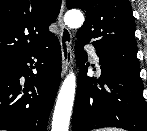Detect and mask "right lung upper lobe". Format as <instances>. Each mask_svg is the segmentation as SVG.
I'll return each mask as SVG.
<instances>
[{
  "instance_id": "1",
  "label": "right lung upper lobe",
  "mask_w": 147,
  "mask_h": 131,
  "mask_svg": "<svg viewBox=\"0 0 147 131\" xmlns=\"http://www.w3.org/2000/svg\"><path fill=\"white\" fill-rule=\"evenodd\" d=\"M61 0H0V61L45 46Z\"/></svg>"
}]
</instances>
